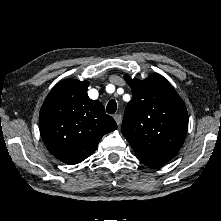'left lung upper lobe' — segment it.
<instances>
[{
  "instance_id": "5c2ea615",
  "label": "left lung upper lobe",
  "mask_w": 221,
  "mask_h": 221,
  "mask_svg": "<svg viewBox=\"0 0 221 221\" xmlns=\"http://www.w3.org/2000/svg\"><path fill=\"white\" fill-rule=\"evenodd\" d=\"M132 89L121 128L137 158L165 164L180 150L188 129L183 100L161 75L125 76Z\"/></svg>"
}]
</instances>
